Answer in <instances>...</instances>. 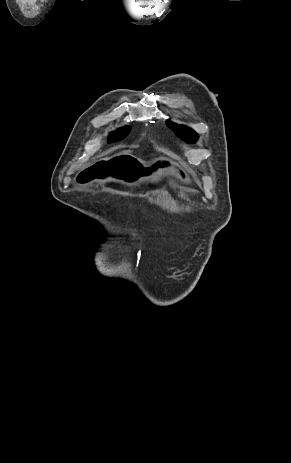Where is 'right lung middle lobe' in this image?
I'll list each match as a JSON object with an SVG mask.
<instances>
[{
  "mask_svg": "<svg viewBox=\"0 0 291 463\" xmlns=\"http://www.w3.org/2000/svg\"><path fill=\"white\" fill-rule=\"evenodd\" d=\"M129 132H130V127H128V126L120 128L119 130L111 133V135H110V137L108 139V143L116 142V141L126 137Z\"/></svg>",
  "mask_w": 291,
  "mask_h": 463,
  "instance_id": "obj_1",
  "label": "right lung middle lobe"
}]
</instances>
